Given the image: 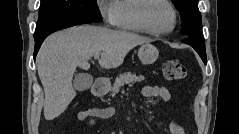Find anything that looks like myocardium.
Returning <instances> with one entry per match:
<instances>
[{"mask_svg": "<svg viewBox=\"0 0 239 134\" xmlns=\"http://www.w3.org/2000/svg\"><path fill=\"white\" fill-rule=\"evenodd\" d=\"M154 1H161L164 4H166L168 6V8L170 9L172 16H173V21H172V25L168 30L165 31H155L153 30L148 22L147 19V11L148 8L150 7V5L152 4V2ZM137 19H138V23L139 25L142 27V29L153 36H167L169 34H171L177 27V22H178V15H177V11L175 9V7L173 6V4L168 1V0H142L138 10H137Z\"/></svg>", "mask_w": 239, "mask_h": 134, "instance_id": "f54148a6", "label": "myocardium"}]
</instances>
